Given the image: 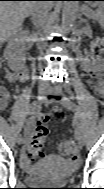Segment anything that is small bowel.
I'll return each mask as SVG.
<instances>
[{
	"label": "small bowel",
	"mask_w": 104,
	"mask_h": 189,
	"mask_svg": "<svg viewBox=\"0 0 104 189\" xmlns=\"http://www.w3.org/2000/svg\"><path fill=\"white\" fill-rule=\"evenodd\" d=\"M82 68L90 75L91 81L94 84V89L97 93L102 94L103 92V86L99 82V77L94 76V70L99 69L101 70V67L96 63L89 59H86L82 63ZM28 79V71L26 68H21L19 70L15 71H7L5 75V80L8 83H14L16 81L25 82ZM11 101V95L9 91L5 87L0 88V105L2 108H6ZM32 134H33V126L32 124H28L25 127V137H26V143L22 148L21 151V160L24 163L28 162V149L32 140Z\"/></svg>",
	"instance_id": "c3829d8e"
}]
</instances>
